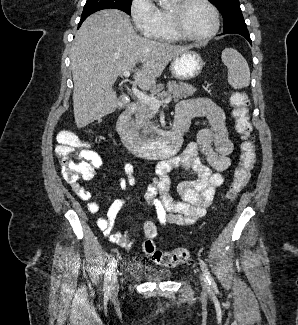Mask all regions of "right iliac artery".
<instances>
[{
  "label": "right iliac artery",
  "mask_w": 298,
  "mask_h": 325,
  "mask_svg": "<svg viewBox=\"0 0 298 325\" xmlns=\"http://www.w3.org/2000/svg\"><path fill=\"white\" fill-rule=\"evenodd\" d=\"M115 266H116V264H115V260L113 258L112 261L109 263V268L107 269V272H106L105 278H104L103 290L105 292L109 291V282L111 280V276L113 274V270H114Z\"/></svg>",
  "instance_id": "1"
}]
</instances>
